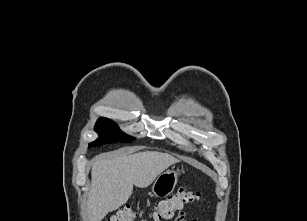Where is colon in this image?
<instances>
[{"label": "colon", "mask_w": 307, "mask_h": 221, "mask_svg": "<svg viewBox=\"0 0 307 221\" xmlns=\"http://www.w3.org/2000/svg\"><path fill=\"white\" fill-rule=\"evenodd\" d=\"M199 199V192L192 191L188 187H181L171 197L155 202L149 216L155 221L171 219L177 212L183 209L184 205ZM136 218L137 212L132 206L127 205L107 219V221H135Z\"/></svg>", "instance_id": "colon-1"}]
</instances>
